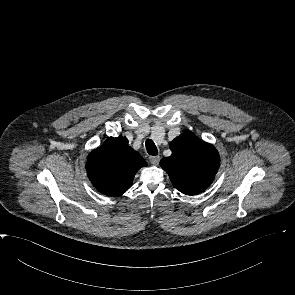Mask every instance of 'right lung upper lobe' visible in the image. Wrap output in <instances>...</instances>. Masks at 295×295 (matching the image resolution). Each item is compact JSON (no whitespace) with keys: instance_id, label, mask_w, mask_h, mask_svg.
Segmentation results:
<instances>
[{"instance_id":"obj_1","label":"right lung upper lobe","mask_w":295,"mask_h":295,"mask_svg":"<svg viewBox=\"0 0 295 295\" xmlns=\"http://www.w3.org/2000/svg\"><path fill=\"white\" fill-rule=\"evenodd\" d=\"M147 166L141 155L128 145L126 137H109L87 160V174L94 187L108 196L125 193L136 172Z\"/></svg>"}]
</instances>
